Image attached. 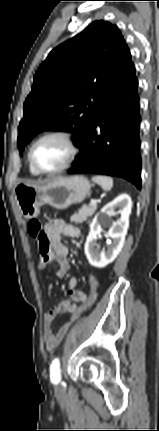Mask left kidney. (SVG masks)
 Segmentation results:
<instances>
[{
	"label": "left kidney",
	"mask_w": 159,
	"mask_h": 431,
	"mask_svg": "<svg viewBox=\"0 0 159 431\" xmlns=\"http://www.w3.org/2000/svg\"><path fill=\"white\" fill-rule=\"evenodd\" d=\"M132 201L129 195L121 194L112 202L105 205L100 212L94 217L90 224V233L85 243V255L89 263L96 268H104L112 263L120 253L127 230L129 227V216L131 214ZM120 214L118 222L111 224V217L114 214ZM110 226L108 235L112 242L108 245L107 250L99 252L95 248V242L101 236L102 227Z\"/></svg>",
	"instance_id": "1"
}]
</instances>
